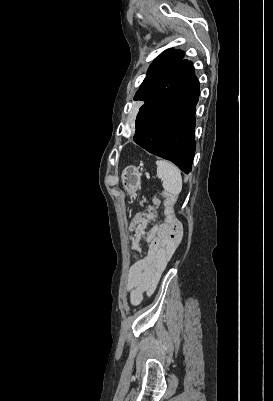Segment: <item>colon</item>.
<instances>
[{"label": "colon", "mask_w": 273, "mask_h": 401, "mask_svg": "<svg viewBox=\"0 0 273 401\" xmlns=\"http://www.w3.org/2000/svg\"><path fill=\"white\" fill-rule=\"evenodd\" d=\"M154 204L157 205L158 201L154 200ZM180 223L177 219L172 216H167L161 225H158L155 233L158 236L159 241H181L183 235L178 232Z\"/></svg>", "instance_id": "1"}]
</instances>
